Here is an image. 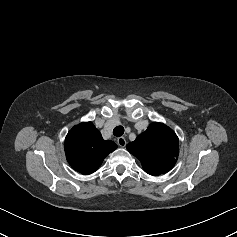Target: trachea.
I'll list each match as a JSON object with an SVG mask.
<instances>
[{
  "label": "trachea",
  "instance_id": "trachea-1",
  "mask_svg": "<svg viewBox=\"0 0 237 237\" xmlns=\"http://www.w3.org/2000/svg\"><path fill=\"white\" fill-rule=\"evenodd\" d=\"M113 134L117 137H120L124 134V128L123 126H116L114 129H113Z\"/></svg>",
  "mask_w": 237,
  "mask_h": 237
}]
</instances>
